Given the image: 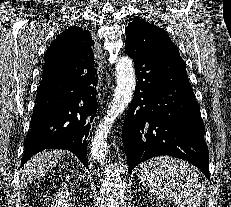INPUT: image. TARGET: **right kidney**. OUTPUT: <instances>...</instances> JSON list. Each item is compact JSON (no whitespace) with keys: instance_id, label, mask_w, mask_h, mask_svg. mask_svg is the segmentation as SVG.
Masks as SVG:
<instances>
[{"instance_id":"obj_1","label":"right kidney","mask_w":231,"mask_h":207,"mask_svg":"<svg viewBox=\"0 0 231 207\" xmlns=\"http://www.w3.org/2000/svg\"><path fill=\"white\" fill-rule=\"evenodd\" d=\"M70 197V193L66 191H61L56 195V198L53 199L52 207H70V203L68 198Z\"/></svg>"}]
</instances>
